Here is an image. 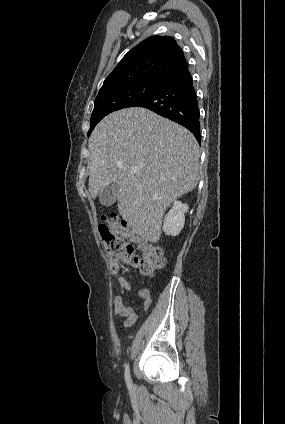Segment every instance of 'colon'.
Masks as SVG:
<instances>
[{
    "instance_id": "5ec220e1",
    "label": "colon",
    "mask_w": 285,
    "mask_h": 424,
    "mask_svg": "<svg viewBox=\"0 0 285 424\" xmlns=\"http://www.w3.org/2000/svg\"><path fill=\"white\" fill-rule=\"evenodd\" d=\"M98 230L105 243L113 271H117L120 266H131L140 275L152 277L157 270L165 266L162 251L149 242H141V256L135 253L130 242L138 238L130 226L118 216L104 217L98 225Z\"/></svg>"
}]
</instances>
